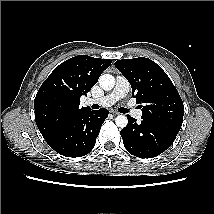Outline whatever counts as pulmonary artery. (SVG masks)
<instances>
[{
    "instance_id": "e3ab8cb5",
    "label": "pulmonary artery",
    "mask_w": 214,
    "mask_h": 214,
    "mask_svg": "<svg viewBox=\"0 0 214 214\" xmlns=\"http://www.w3.org/2000/svg\"><path fill=\"white\" fill-rule=\"evenodd\" d=\"M130 84L127 79L122 75H117L115 87L112 92L108 95L89 99L88 102L90 104H98L102 107H108L114 104L117 100L124 98L129 92ZM129 112L133 117L140 120L142 117V110L129 106Z\"/></svg>"
}]
</instances>
